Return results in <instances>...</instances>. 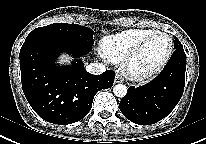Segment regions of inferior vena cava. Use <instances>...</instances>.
<instances>
[{
    "label": "inferior vena cava",
    "mask_w": 206,
    "mask_h": 144,
    "mask_svg": "<svg viewBox=\"0 0 206 144\" xmlns=\"http://www.w3.org/2000/svg\"><path fill=\"white\" fill-rule=\"evenodd\" d=\"M86 70L87 72H89L90 74H94V75H100L103 72H105V65L100 64V63H91L88 66H86Z\"/></svg>",
    "instance_id": "602c4592"
}]
</instances>
